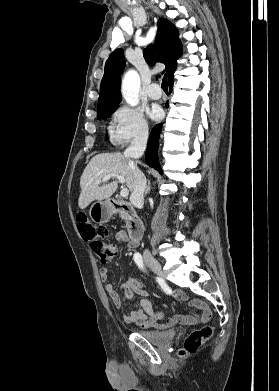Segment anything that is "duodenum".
<instances>
[{
  "instance_id": "duodenum-1",
  "label": "duodenum",
  "mask_w": 279,
  "mask_h": 391,
  "mask_svg": "<svg viewBox=\"0 0 279 391\" xmlns=\"http://www.w3.org/2000/svg\"><path fill=\"white\" fill-rule=\"evenodd\" d=\"M108 209L112 214H121L126 219L129 230L130 245H137L144 232L143 221L136 215L133 207L127 201L111 199Z\"/></svg>"
}]
</instances>
